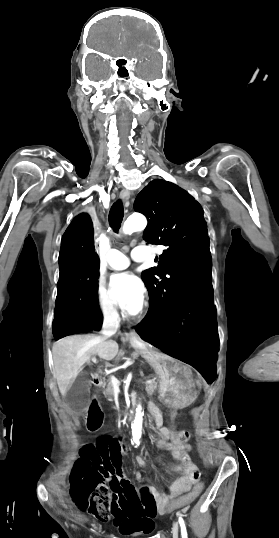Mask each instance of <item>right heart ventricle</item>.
<instances>
[{
  "mask_svg": "<svg viewBox=\"0 0 279 538\" xmlns=\"http://www.w3.org/2000/svg\"><path fill=\"white\" fill-rule=\"evenodd\" d=\"M131 231V219L129 215H126L119 227V234L124 235Z\"/></svg>",
  "mask_w": 279,
  "mask_h": 538,
  "instance_id": "1",
  "label": "right heart ventricle"
}]
</instances>
